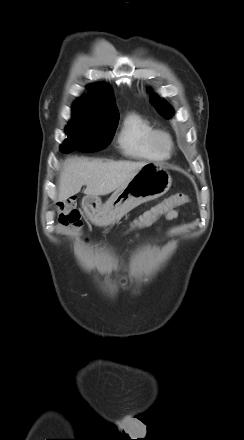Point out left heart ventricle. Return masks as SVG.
<instances>
[{
	"label": "left heart ventricle",
	"instance_id": "b2bd125f",
	"mask_svg": "<svg viewBox=\"0 0 244 440\" xmlns=\"http://www.w3.org/2000/svg\"><path fill=\"white\" fill-rule=\"evenodd\" d=\"M159 143L162 147H166L167 146V142L164 139H159Z\"/></svg>",
	"mask_w": 244,
	"mask_h": 440
}]
</instances>
